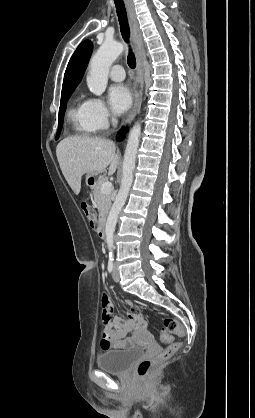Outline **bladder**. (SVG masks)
<instances>
[{
  "label": "bladder",
  "instance_id": "1",
  "mask_svg": "<svg viewBox=\"0 0 255 418\" xmlns=\"http://www.w3.org/2000/svg\"><path fill=\"white\" fill-rule=\"evenodd\" d=\"M141 354L142 349L137 347L108 350L97 356L96 364L98 368L107 372L125 373Z\"/></svg>",
  "mask_w": 255,
  "mask_h": 418
}]
</instances>
